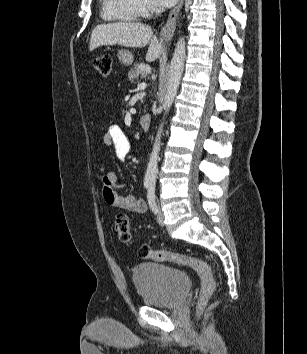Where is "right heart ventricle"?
<instances>
[{
	"instance_id": "obj_1",
	"label": "right heart ventricle",
	"mask_w": 307,
	"mask_h": 354,
	"mask_svg": "<svg viewBox=\"0 0 307 354\" xmlns=\"http://www.w3.org/2000/svg\"><path fill=\"white\" fill-rule=\"evenodd\" d=\"M101 15L107 21H136L140 14L134 0H101Z\"/></svg>"
}]
</instances>
